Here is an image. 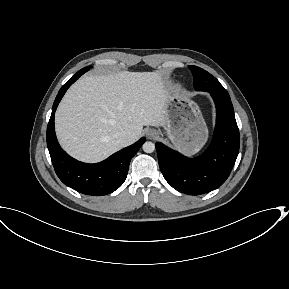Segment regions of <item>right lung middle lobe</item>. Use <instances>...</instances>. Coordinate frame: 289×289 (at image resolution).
<instances>
[{"instance_id": "obj_1", "label": "right lung middle lobe", "mask_w": 289, "mask_h": 289, "mask_svg": "<svg viewBox=\"0 0 289 289\" xmlns=\"http://www.w3.org/2000/svg\"><path fill=\"white\" fill-rule=\"evenodd\" d=\"M90 68H91V66H88V67L82 68L81 71H82L83 73H85V72L88 71Z\"/></svg>"}]
</instances>
